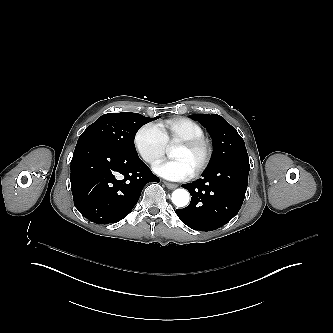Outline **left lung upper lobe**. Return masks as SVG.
Masks as SVG:
<instances>
[{"mask_svg":"<svg viewBox=\"0 0 333 333\" xmlns=\"http://www.w3.org/2000/svg\"><path fill=\"white\" fill-rule=\"evenodd\" d=\"M189 117L204 126L213 139L214 156L208 170L231 158L248 157L244 140L223 117L216 114H198Z\"/></svg>","mask_w":333,"mask_h":333,"instance_id":"5c2ea615","label":"left lung upper lobe"}]
</instances>
